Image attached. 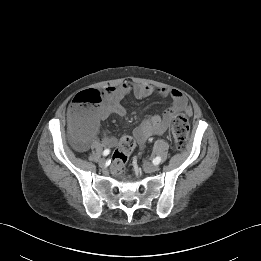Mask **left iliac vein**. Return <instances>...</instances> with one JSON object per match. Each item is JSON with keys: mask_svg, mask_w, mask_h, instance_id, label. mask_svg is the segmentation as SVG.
<instances>
[{"mask_svg": "<svg viewBox=\"0 0 261 261\" xmlns=\"http://www.w3.org/2000/svg\"><path fill=\"white\" fill-rule=\"evenodd\" d=\"M142 167H143L144 171L147 173H152L159 169V166L157 164H152V163H149L146 161L143 162Z\"/></svg>", "mask_w": 261, "mask_h": 261, "instance_id": "1", "label": "left iliac vein"}]
</instances>
